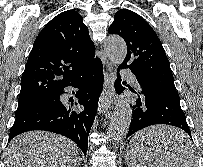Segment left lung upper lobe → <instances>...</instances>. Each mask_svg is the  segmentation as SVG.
Returning <instances> with one entry per match:
<instances>
[{
	"instance_id": "left-lung-upper-lobe-1",
	"label": "left lung upper lobe",
	"mask_w": 203,
	"mask_h": 167,
	"mask_svg": "<svg viewBox=\"0 0 203 167\" xmlns=\"http://www.w3.org/2000/svg\"><path fill=\"white\" fill-rule=\"evenodd\" d=\"M127 44L122 68H128L140 85H154L162 90L176 91L169 60L152 27L138 14L127 9L117 11L108 29Z\"/></svg>"
}]
</instances>
